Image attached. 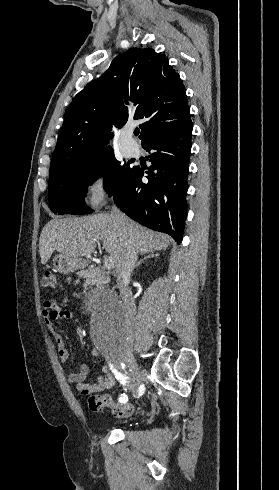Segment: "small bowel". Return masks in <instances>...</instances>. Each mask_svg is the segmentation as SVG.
<instances>
[{
  "mask_svg": "<svg viewBox=\"0 0 279 490\" xmlns=\"http://www.w3.org/2000/svg\"><path fill=\"white\" fill-rule=\"evenodd\" d=\"M42 317L46 326L51 327L58 320H72L74 314L72 311L63 308L56 301H46L42 307ZM54 341L57 346L58 356L61 362H68L70 351L67 348L64 339L59 334H54ZM97 352L94 351L93 355ZM89 374V368L86 364H81L78 371L71 372L68 375L70 383L75 385L76 391L81 395L99 393L103 390L110 389L114 385V378L108 367H103L102 375L94 383H86L85 379Z\"/></svg>",
  "mask_w": 279,
  "mask_h": 490,
  "instance_id": "obj_1",
  "label": "small bowel"
}]
</instances>
